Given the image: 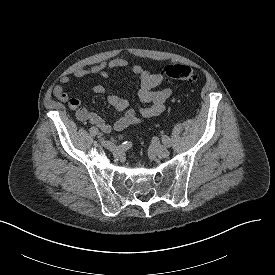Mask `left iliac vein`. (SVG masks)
<instances>
[{
	"instance_id": "4c4485c4",
	"label": "left iliac vein",
	"mask_w": 275,
	"mask_h": 275,
	"mask_svg": "<svg viewBox=\"0 0 275 275\" xmlns=\"http://www.w3.org/2000/svg\"><path fill=\"white\" fill-rule=\"evenodd\" d=\"M149 149L152 155L159 158H166L167 156H169L168 149L157 142H153Z\"/></svg>"
}]
</instances>
